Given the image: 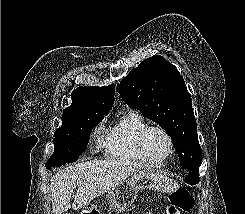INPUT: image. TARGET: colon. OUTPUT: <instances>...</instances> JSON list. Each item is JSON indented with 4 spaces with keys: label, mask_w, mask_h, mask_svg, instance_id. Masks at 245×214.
<instances>
[{
    "label": "colon",
    "mask_w": 245,
    "mask_h": 214,
    "mask_svg": "<svg viewBox=\"0 0 245 214\" xmlns=\"http://www.w3.org/2000/svg\"><path fill=\"white\" fill-rule=\"evenodd\" d=\"M194 207V199L185 188H178L169 195L166 214H182L190 212ZM146 214H152L147 212Z\"/></svg>",
    "instance_id": "obj_1"
}]
</instances>
